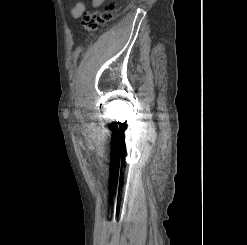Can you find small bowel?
<instances>
[{"instance_id": "1", "label": "small bowel", "mask_w": 247, "mask_h": 245, "mask_svg": "<svg viewBox=\"0 0 247 245\" xmlns=\"http://www.w3.org/2000/svg\"><path fill=\"white\" fill-rule=\"evenodd\" d=\"M104 0H92L93 7H99L102 5ZM85 12V4L81 1H77L72 9H71V15L73 18L77 19L80 18Z\"/></svg>"}]
</instances>
